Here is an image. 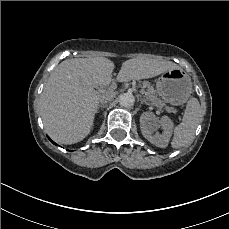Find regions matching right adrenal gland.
<instances>
[{"label": "right adrenal gland", "mask_w": 229, "mask_h": 229, "mask_svg": "<svg viewBox=\"0 0 229 229\" xmlns=\"http://www.w3.org/2000/svg\"><path fill=\"white\" fill-rule=\"evenodd\" d=\"M99 107H104V106L100 105ZM99 107L97 108V111H96V113H98Z\"/></svg>", "instance_id": "right-adrenal-gland-1"}]
</instances>
